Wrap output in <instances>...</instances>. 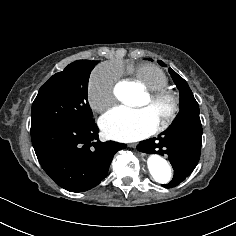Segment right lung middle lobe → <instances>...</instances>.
<instances>
[{
    "mask_svg": "<svg viewBox=\"0 0 236 236\" xmlns=\"http://www.w3.org/2000/svg\"><path fill=\"white\" fill-rule=\"evenodd\" d=\"M96 62L78 60L41 86L32 104L31 129L59 122L92 119L87 100L88 80Z\"/></svg>",
    "mask_w": 236,
    "mask_h": 236,
    "instance_id": "1",
    "label": "right lung middle lobe"
}]
</instances>
